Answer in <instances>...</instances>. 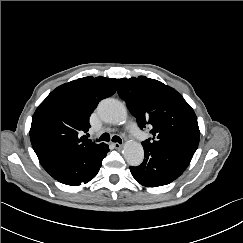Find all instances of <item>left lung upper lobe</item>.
<instances>
[{
  "instance_id": "5c2ea615",
  "label": "left lung upper lobe",
  "mask_w": 243,
  "mask_h": 243,
  "mask_svg": "<svg viewBox=\"0 0 243 243\" xmlns=\"http://www.w3.org/2000/svg\"><path fill=\"white\" fill-rule=\"evenodd\" d=\"M118 94L126 101L139 127L151 129L152 139L142 145L196 151L200 138L197 117L175 89L139 76L120 79Z\"/></svg>"
}]
</instances>
